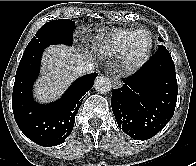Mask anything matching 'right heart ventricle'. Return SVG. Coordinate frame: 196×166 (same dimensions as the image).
I'll return each mask as SVG.
<instances>
[{
	"instance_id": "1",
	"label": "right heart ventricle",
	"mask_w": 196,
	"mask_h": 166,
	"mask_svg": "<svg viewBox=\"0 0 196 166\" xmlns=\"http://www.w3.org/2000/svg\"><path fill=\"white\" fill-rule=\"evenodd\" d=\"M131 29H113L98 35L93 43V49L102 56H121L126 49V39Z\"/></svg>"
}]
</instances>
